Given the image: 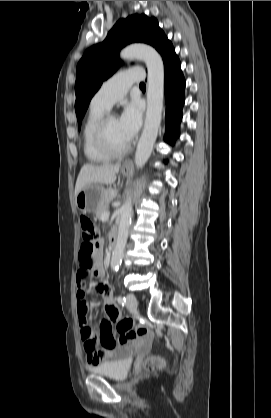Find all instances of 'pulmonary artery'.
<instances>
[{
  "label": "pulmonary artery",
  "instance_id": "pulmonary-artery-1",
  "mask_svg": "<svg viewBox=\"0 0 271 418\" xmlns=\"http://www.w3.org/2000/svg\"><path fill=\"white\" fill-rule=\"evenodd\" d=\"M141 69H127L114 74L103 83L93 96L91 104L110 109L114 103L123 98L133 83L143 80Z\"/></svg>",
  "mask_w": 271,
  "mask_h": 418
}]
</instances>
